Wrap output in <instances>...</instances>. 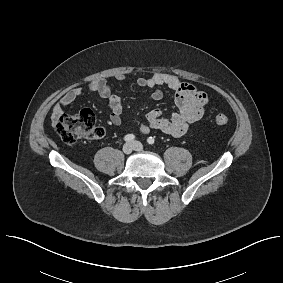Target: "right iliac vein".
I'll list each match as a JSON object with an SVG mask.
<instances>
[{
  "instance_id": "63e3f726",
  "label": "right iliac vein",
  "mask_w": 283,
  "mask_h": 283,
  "mask_svg": "<svg viewBox=\"0 0 283 283\" xmlns=\"http://www.w3.org/2000/svg\"><path fill=\"white\" fill-rule=\"evenodd\" d=\"M134 150V146L131 143H125L123 145L122 151L125 154H130Z\"/></svg>"
}]
</instances>
